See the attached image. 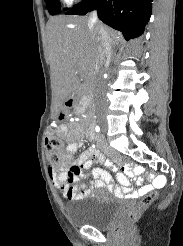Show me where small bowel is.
Masks as SVG:
<instances>
[{"label": "small bowel", "instance_id": "c3829d8e", "mask_svg": "<svg viewBox=\"0 0 183 246\" xmlns=\"http://www.w3.org/2000/svg\"><path fill=\"white\" fill-rule=\"evenodd\" d=\"M60 131L65 134L66 138L69 140L76 139L81 135L80 131H69L64 126L60 128ZM91 133L93 132H88V135L90 136ZM82 145L83 143L81 141L70 142L66 147L67 160L65 166L61 169H55L51 166L48 168L49 176L54 187L69 201H78L90 197L93 185L97 187H107L117 196L130 197L144 196L157 188V185H166V180H161L165 179V174H144V179H152L154 182L152 184L141 185V180L138 179L136 183L141 186L136 191H133L129 179H135V175L143 173L144 170L141 167H134L132 169L130 165L127 164L123 165L122 172L117 174V180L122 186L121 188L114 185L111 175L104 169L94 168L89 174H86L85 170H88L92 166L93 161H105L101 151L95 147L86 149L74 160L72 155L76 153ZM105 165L116 169V166L109 161H106ZM70 170L73 171V173H71ZM88 176L93 178V182H79V179Z\"/></svg>", "mask_w": 183, "mask_h": 246}]
</instances>
